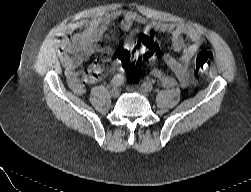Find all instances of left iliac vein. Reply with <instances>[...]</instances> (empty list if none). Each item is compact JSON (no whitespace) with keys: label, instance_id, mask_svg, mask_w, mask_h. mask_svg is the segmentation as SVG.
Masks as SVG:
<instances>
[{"label":"left iliac vein","instance_id":"left-iliac-vein-1","mask_svg":"<svg viewBox=\"0 0 251 192\" xmlns=\"http://www.w3.org/2000/svg\"><path fill=\"white\" fill-rule=\"evenodd\" d=\"M127 90L130 92L139 93L145 97H148L149 95L147 90H145L142 86H138V85H128Z\"/></svg>","mask_w":251,"mask_h":192}]
</instances>
